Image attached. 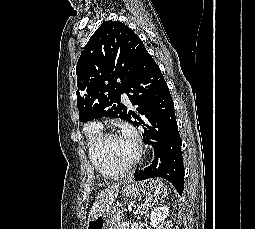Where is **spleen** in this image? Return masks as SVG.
I'll return each instance as SVG.
<instances>
[{
	"label": "spleen",
	"instance_id": "1",
	"mask_svg": "<svg viewBox=\"0 0 255 229\" xmlns=\"http://www.w3.org/2000/svg\"><path fill=\"white\" fill-rule=\"evenodd\" d=\"M154 195L163 197L167 195V189L162 182L156 181Z\"/></svg>",
	"mask_w": 255,
	"mask_h": 229
}]
</instances>
